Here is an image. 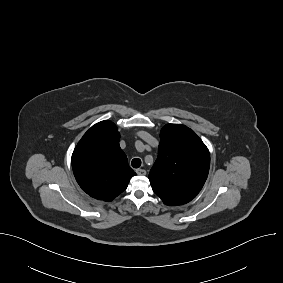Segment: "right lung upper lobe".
<instances>
[{
    "instance_id": "cb5924a9",
    "label": "right lung upper lobe",
    "mask_w": 283,
    "mask_h": 283,
    "mask_svg": "<svg viewBox=\"0 0 283 283\" xmlns=\"http://www.w3.org/2000/svg\"><path fill=\"white\" fill-rule=\"evenodd\" d=\"M114 123L105 120L91 127L72 154V168L80 187L91 197L112 201L136 173L119 146Z\"/></svg>"
}]
</instances>
